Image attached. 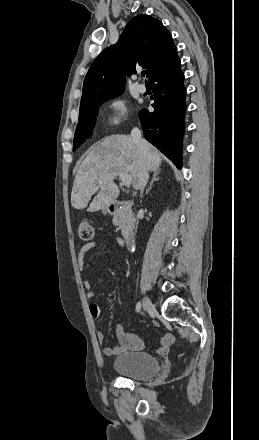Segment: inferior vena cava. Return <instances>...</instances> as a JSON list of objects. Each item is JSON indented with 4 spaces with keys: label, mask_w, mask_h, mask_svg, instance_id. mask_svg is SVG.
Segmentation results:
<instances>
[{
    "label": "inferior vena cava",
    "mask_w": 259,
    "mask_h": 440,
    "mask_svg": "<svg viewBox=\"0 0 259 440\" xmlns=\"http://www.w3.org/2000/svg\"><path fill=\"white\" fill-rule=\"evenodd\" d=\"M131 138L134 141V143L138 146L139 149H142V138H141V131L138 128H133L131 131ZM147 180H148V171L146 168H143L142 170V174L139 180V189H140V194L142 197L144 188L147 184Z\"/></svg>",
    "instance_id": "602c4592"
}]
</instances>
